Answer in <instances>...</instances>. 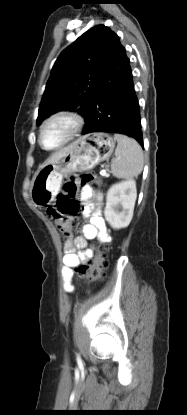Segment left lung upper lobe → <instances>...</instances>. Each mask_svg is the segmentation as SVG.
<instances>
[{
    "instance_id": "obj_1",
    "label": "left lung upper lobe",
    "mask_w": 187,
    "mask_h": 415,
    "mask_svg": "<svg viewBox=\"0 0 187 415\" xmlns=\"http://www.w3.org/2000/svg\"><path fill=\"white\" fill-rule=\"evenodd\" d=\"M117 39L109 27L98 25L62 51L47 82L37 125L62 110L78 112L85 119L92 115L95 86Z\"/></svg>"
}]
</instances>
